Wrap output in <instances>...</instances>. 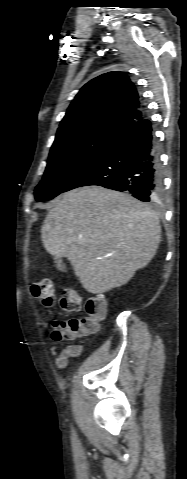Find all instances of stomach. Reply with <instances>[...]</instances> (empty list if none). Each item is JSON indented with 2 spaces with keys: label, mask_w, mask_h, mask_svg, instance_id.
I'll use <instances>...</instances> for the list:
<instances>
[{
  "label": "stomach",
  "mask_w": 187,
  "mask_h": 479,
  "mask_svg": "<svg viewBox=\"0 0 187 479\" xmlns=\"http://www.w3.org/2000/svg\"><path fill=\"white\" fill-rule=\"evenodd\" d=\"M55 265H56L57 269L60 270V271H64L65 268H66L65 264H64V262L61 258L55 259Z\"/></svg>",
  "instance_id": "stomach-1"
}]
</instances>
